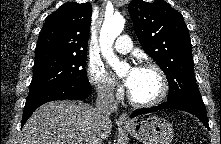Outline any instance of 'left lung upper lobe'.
I'll return each mask as SVG.
<instances>
[{
  "mask_svg": "<svg viewBox=\"0 0 221 144\" xmlns=\"http://www.w3.org/2000/svg\"><path fill=\"white\" fill-rule=\"evenodd\" d=\"M142 48L166 74L167 100L202 103L194 75L192 45L183 16L164 0H133L128 6Z\"/></svg>",
  "mask_w": 221,
  "mask_h": 144,
  "instance_id": "obj_1",
  "label": "left lung upper lobe"
}]
</instances>
